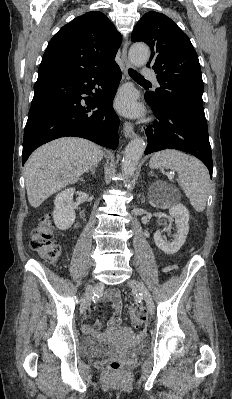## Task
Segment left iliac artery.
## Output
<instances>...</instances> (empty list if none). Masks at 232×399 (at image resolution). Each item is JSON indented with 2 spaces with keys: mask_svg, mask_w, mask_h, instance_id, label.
Segmentation results:
<instances>
[{
  "mask_svg": "<svg viewBox=\"0 0 232 399\" xmlns=\"http://www.w3.org/2000/svg\"><path fill=\"white\" fill-rule=\"evenodd\" d=\"M137 298L138 299H142L143 298V294L142 293H138Z\"/></svg>",
  "mask_w": 232,
  "mask_h": 399,
  "instance_id": "44dca946",
  "label": "left iliac artery"
}]
</instances>
